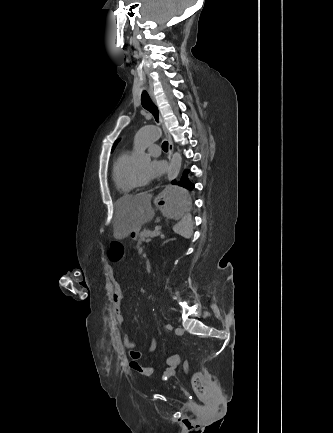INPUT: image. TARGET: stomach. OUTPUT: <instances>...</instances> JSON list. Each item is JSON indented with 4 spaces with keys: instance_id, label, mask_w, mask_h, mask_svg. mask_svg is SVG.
Instances as JSON below:
<instances>
[{
    "instance_id": "0dacf381",
    "label": "stomach",
    "mask_w": 333,
    "mask_h": 433,
    "mask_svg": "<svg viewBox=\"0 0 333 433\" xmlns=\"http://www.w3.org/2000/svg\"><path fill=\"white\" fill-rule=\"evenodd\" d=\"M187 190L183 183H166L163 193L156 198V204L162 206L160 212L163 220H184L188 210H191V201H187ZM138 233L132 232L130 236L136 239Z\"/></svg>"
}]
</instances>
